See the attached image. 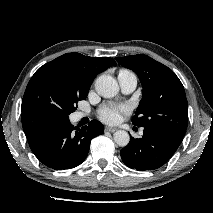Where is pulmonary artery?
<instances>
[{"label": "pulmonary artery", "mask_w": 213, "mask_h": 213, "mask_svg": "<svg viewBox=\"0 0 213 213\" xmlns=\"http://www.w3.org/2000/svg\"><path fill=\"white\" fill-rule=\"evenodd\" d=\"M118 82L121 88V91L125 94L133 92L137 86V77L128 71H120L118 74ZM83 117L82 113L77 114V118Z\"/></svg>", "instance_id": "1"}]
</instances>
